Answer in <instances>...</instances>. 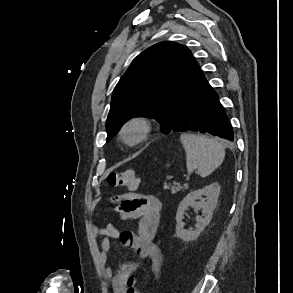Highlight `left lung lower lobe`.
I'll return each mask as SVG.
<instances>
[{
	"label": "left lung lower lobe",
	"mask_w": 293,
	"mask_h": 293,
	"mask_svg": "<svg viewBox=\"0 0 293 293\" xmlns=\"http://www.w3.org/2000/svg\"><path fill=\"white\" fill-rule=\"evenodd\" d=\"M172 131L210 133L230 141L234 140L233 130L224 107L210 85L186 105L179 122Z\"/></svg>",
	"instance_id": "0a47b994"
}]
</instances>
